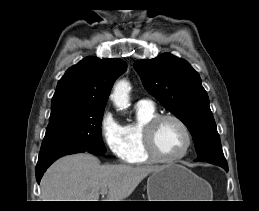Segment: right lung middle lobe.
I'll list each match as a JSON object with an SVG mask.
<instances>
[{
	"label": "right lung middle lobe",
	"instance_id": "right-lung-middle-lobe-1",
	"mask_svg": "<svg viewBox=\"0 0 259 211\" xmlns=\"http://www.w3.org/2000/svg\"><path fill=\"white\" fill-rule=\"evenodd\" d=\"M104 109L77 108L50 117L39 158L65 149L106 152L101 137Z\"/></svg>",
	"mask_w": 259,
	"mask_h": 211
}]
</instances>
